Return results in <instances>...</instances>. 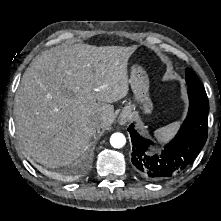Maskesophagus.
Returning a JSON list of instances; mask_svg holds the SVG:
<instances>
[{"instance_id":"obj_1","label":"esophagus","mask_w":221,"mask_h":221,"mask_svg":"<svg viewBox=\"0 0 221 221\" xmlns=\"http://www.w3.org/2000/svg\"><path fill=\"white\" fill-rule=\"evenodd\" d=\"M127 121H128V116L127 115H122L119 118V123L122 124V125L125 124Z\"/></svg>"}]
</instances>
